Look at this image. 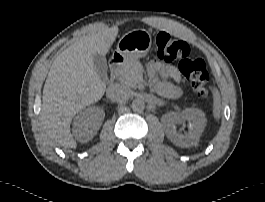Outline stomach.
Instances as JSON below:
<instances>
[{
	"label": "stomach",
	"mask_w": 265,
	"mask_h": 202,
	"mask_svg": "<svg viewBox=\"0 0 265 202\" xmlns=\"http://www.w3.org/2000/svg\"><path fill=\"white\" fill-rule=\"evenodd\" d=\"M152 45L150 33L145 29H134L121 37L117 44V53L124 60L145 57Z\"/></svg>",
	"instance_id": "stomach-1"
}]
</instances>
